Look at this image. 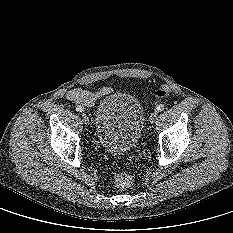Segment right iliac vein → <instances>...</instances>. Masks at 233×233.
Here are the masks:
<instances>
[{"label": "right iliac vein", "mask_w": 233, "mask_h": 233, "mask_svg": "<svg viewBox=\"0 0 233 233\" xmlns=\"http://www.w3.org/2000/svg\"><path fill=\"white\" fill-rule=\"evenodd\" d=\"M82 119L86 125L90 123L89 117L85 113H82Z\"/></svg>", "instance_id": "1"}]
</instances>
